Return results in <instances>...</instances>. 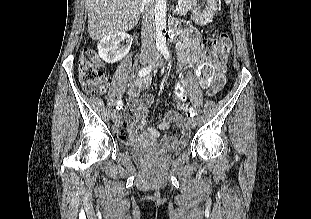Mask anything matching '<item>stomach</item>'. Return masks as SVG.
I'll return each instance as SVG.
<instances>
[{"mask_svg": "<svg viewBox=\"0 0 311 219\" xmlns=\"http://www.w3.org/2000/svg\"><path fill=\"white\" fill-rule=\"evenodd\" d=\"M217 0H193L192 19L201 26L211 22L216 11Z\"/></svg>", "mask_w": 311, "mask_h": 219, "instance_id": "stomach-1", "label": "stomach"}]
</instances>
